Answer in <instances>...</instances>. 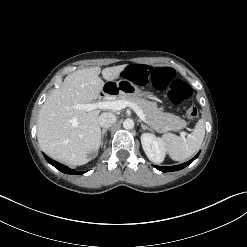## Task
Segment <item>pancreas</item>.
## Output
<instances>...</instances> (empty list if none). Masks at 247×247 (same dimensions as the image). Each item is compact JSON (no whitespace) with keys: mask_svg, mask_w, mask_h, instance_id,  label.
Segmentation results:
<instances>
[{"mask_svg":"<svg viewBox=\"0 0 247 247\" xmlns=\"http://www.w3.org/2000/svg\"><path fill=\"white\" fill-rule=\"evenodd\" d=\"M114 100H124L136 104L144 113L146 122L158 132L176 131L187 125L186 121L172 113L163 112L156 102L137 96L119 94Z\"/></svg>","mask_w":247,"mask_h":247,"instance_id":"pancreas-1","label":"pancreas"}]
</instances>
